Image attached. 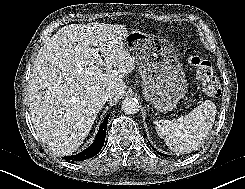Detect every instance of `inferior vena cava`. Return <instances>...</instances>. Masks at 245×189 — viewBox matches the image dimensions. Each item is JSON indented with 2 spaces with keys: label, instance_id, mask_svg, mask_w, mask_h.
I'll list each match as a JSON object with an SVG mask.
<instances>
[{
  "label": "inferior vena cava",
  "instance_id": "602c4592",
  "mask_svg": "<svg viewBox=\"0 0 245 189\" xmlns=\"http://www.w3.org/2000/svg\"><path fill=\"white\" fill-rule=\"evenodd\" d=\"M114 97V92L110 89H107L102 93L101 99L106 102L111 100Z\"/></svg>",
  "mask_w": 245,
  "mask_h": 189
}]
</instances>
